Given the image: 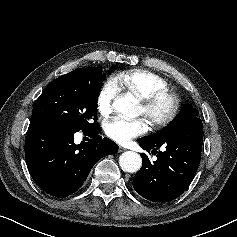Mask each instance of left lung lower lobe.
<instances>
[{
    "label": "left lung lower lobe",
    "mask_w": 237,
    "mask_h": 237,
    "mask_svg": "<svg viewBox=\"0 0 237 237\" xmlns=\"http://www.w3.org/2000/svg\"><path fill=\"white\" fill-rule=\"evenodd\" d=\"M137 142L148 154H156L157 159L151 162L146 153H140L143 166L132 183L135 191L153 202H168L180 196L192 182L201 160L203 123L200 118L160 142L144 138Z\"/></svg>",
    "instance_id": "0a47b994"
}]
</instances>
